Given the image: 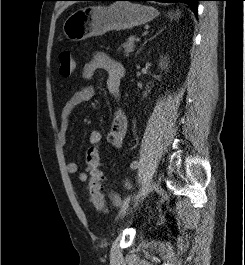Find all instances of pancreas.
<instances>
[{
    "instance_id": "1",
    "label": "pancreas",
    "mask_w": 245,
    "mask_h": 265,
    "mask_svg": "<svg viewBox=\"0 0 245 265\" xmlns=\"http://www.w3.org/2000/svg\"><path fill=\"white\" fill-rule=\"evenodd\" d=\"M135 36L129 37L127 42L122 44V48L124 49V56L128 57L130 53H132L135 49ZM121 49V48H119Z\"/></svg>"
}]
</instances>
